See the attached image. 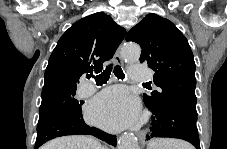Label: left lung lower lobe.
<instances>
[{
  "mask_svg": "<svg viewBox=\"0 0 227 149\" xmlns=\"http://www.w3.org/2000/svg\"><path fill=\"white\" fill-rule=\"evenodd\" d=\"M153 113L150 133L147 140L155 137H169L186 140L200 149L198 130L196 127V109L171 103L162 107L146 103Z\"/></svg>",
  "mask_w": 227,
  "mask_h": 149,
  "instance_id": "0a47b994",
  "label": "left lung lower lobe"
}]
</instances>
